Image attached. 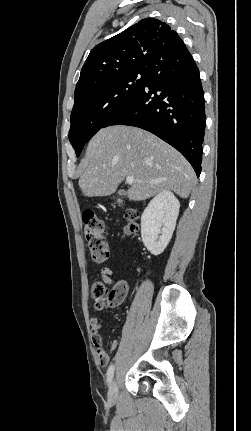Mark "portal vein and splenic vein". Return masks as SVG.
Listing matches in <instances>:
<instances>
[{
    "label": "portal vein and splenic vein",
    "instance_id": "portal-vein-and-splenic-vein-1",
    "mask_svg": "<svg viewBox=\"0 0 251 431\" xmlns=\"http://www.w3.org/2000/svg\"><path fill=\"white\" fill-rule=\"evenodd\" d=\"M134 182L143 183V181L137 180L133 176H127L126 177V183L127 184H133Z\"/></svg>",
    "mask_w": 251,
    "mask_h": 431
}]
</instances>
